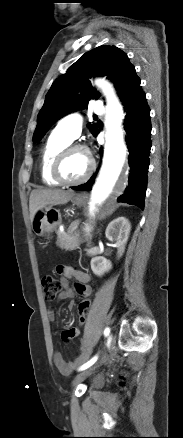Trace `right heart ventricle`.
<instances>
[{"mask_svg":"<svg viewBox=\"0 0 183 438\" xmlns=\"http://www.w3.org/2000/svg\"><path fill=\"white\" fill-rule=\"evenodd\" d=\"M72 140L56 129L45 142L40 158V175L42 182L50 187L59 185L51 176V167L56 155L66 146L71 144Z\"/></svg>","mask_w":183,"mask_h":438,"instance_id":"e07e8e85","label":"right heart ventricle"}]
</instances>
